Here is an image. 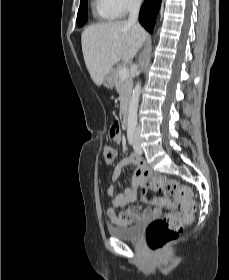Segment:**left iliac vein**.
<instances>
[{
  "label": "left iliac vein",
  "mask_w": 229,
  "mask_h": 280,
  "mask_svg": "<svg viewBox=\"0 0 229 280\" xmlns=\"http://www.w3.org/2000/svg\"><path fill=\"white\" fill-rule=\"evenodd\" d=\"M134 151L137 155H141L143 153V150H142V147L140 145V140H139V137L136 136L135 139H134Z\"/></svg>",
  "instance_id": "obj_1"
}]
</instances>
